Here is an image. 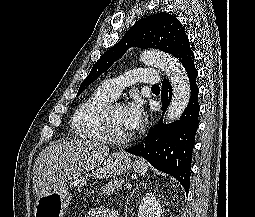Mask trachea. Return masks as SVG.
I'll return each mask as SVG.
<instances>
[{"label": "trachea", "mask_w": 255, "mask_h": 217, "mask_svg": "<svg viewBox=\"0 0 255 217\" xmlns=\"http://www.w3.org/2000/svg\"><path fill=\"white\" fill-rule=\"evenodd\" d=\"M152 88L153 89H159V86L158 85H153Z\"/></svg>", "instance_id": "1"}]
</instances>
